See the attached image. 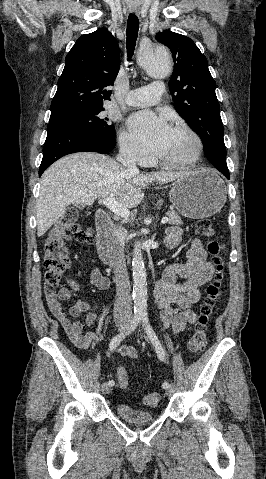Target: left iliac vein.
<instances>
[{"label": "left iliac vein", "mask_w": 266, "mask_h": 479, "mask_svg": "<svg viewBox=\"0 0 266 479\" xmlns=\"http://www.w3.org/2000/svg\"><path fill=\"white\" fill-rule=\"evenodd\" d=\"M166 395L171 396L174 393V388L172 385H170L168 388H166Z\"/></svg>", "instance_id": "4c4485c4"}]
</instances>
